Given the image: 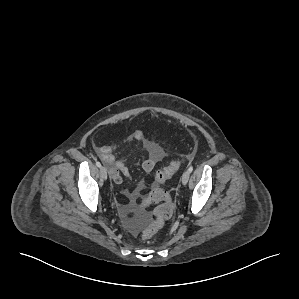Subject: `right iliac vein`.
<instances>
[{"instance_id": "1", "label": "right iliac vein", "mask_w": 299, "mask_h": 299, "mask_svg": "<svg viewBox=\"0 0 299 299\" xmlns=\"http://www.w3.org/2000/svg\"><path fill=\"white\" fill-rule=\"evenodd\" d=\"M100 174L103 179H107V169L105 167H100Z\"/></svg>"}]
</instances>
